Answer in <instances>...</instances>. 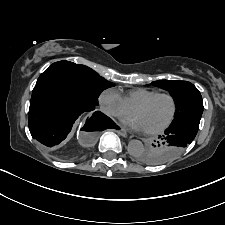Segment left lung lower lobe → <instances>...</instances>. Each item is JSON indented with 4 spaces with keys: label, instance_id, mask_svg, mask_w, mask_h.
I'll return each mask as SVG.
<instances>
[{
    "label": "left lung lower lobe",
    "instance_id": "0a47b994",
    "mask_svg": "<svg viewBox=\"0 0 225 225\" xmlns=\"http://www.w3.org/2000/svg\"><path fill=\"white\" fill-rule=\"evenodd\" d=\"M200 119L201 114H192L171 123L161 138L171 140L172 143L169 145L172 149L154 156L156 165L175 158L193 141L199 128Z\"/></svg>",
    "mask_w": 225,
    "mask_h": 225
}]
</instances>
